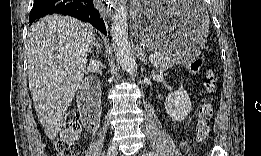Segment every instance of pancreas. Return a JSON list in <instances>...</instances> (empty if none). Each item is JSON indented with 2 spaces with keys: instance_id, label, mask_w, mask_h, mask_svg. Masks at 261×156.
I'll use <instances>...</instances> for the list:
<instances>
[{
  "instance_id": "cf45deb5",
  "label": "pancreas",
  "mask_w": 261,
  "mask_h": 156,
  "mask_svg": "<svg viewBox=\"0 0 261 156\" xmlns=\"http://www.w3.org/2000/svg\"><path fill=\"white\" fill-rule=\"evenodd\" d=\"M156 59L152 61L157 69H167L173 66L175 63L169 54L161 52H155Z\"/></svg>"
}]
</instances>
